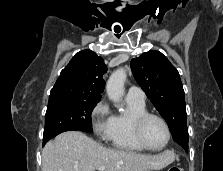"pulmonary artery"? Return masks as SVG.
<instances>
[{
  "mask_svg": "<svg viewBox=\"0 0 223 171\" xmlns=\"http://www.w3.org/2000/svg\"><path fill=\"white\" fill-rule=\"evenodd\" d=\"M126 98L136 102L145 103L146 96L141 88L137 86H131L127 91Z\"/></svg>",
  "mask_w": 223,
  "mask_h": 171,
  "instance_id": "e3ab8cb5",
  "label": "pulmonary artery"
}]
</instances>
